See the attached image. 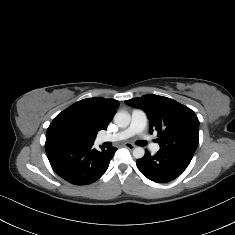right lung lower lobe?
<instances>
[{"label": "right lung lower lobe", "mask_w": 235, "mask_h": 235, "mask_svg": "<svg viewBox=\"0 0 235 235\" xmlns=\"http://www.w3.org/2000/svg\"><path fill=\"white\" fill-rule=\"evenodd\" d=\"M93 143H70L63 138L46 142L49 162L61 178L74 185H88L97 181L107 170L117 148L102 152L93 148Z\"/></svg>", "instance_id": "right-lung-lower-lobe-1"}]
</instances>
